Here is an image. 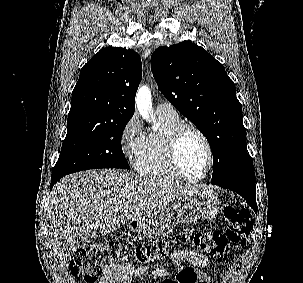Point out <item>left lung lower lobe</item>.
Returning a JSON list of instances; mask_svg holds the SVG:
<instances>
[{
  "mask_svg": "<svg viewBox=\"0 0 303 283\" xmlns=\"http://www.w3.org/2000/svg\"><path fill=\"white\" fill-rule=\"evenodd\" d=\"M220 187L232 190L241 195L252 209L257 213L256 204V185L255 181H239L231 183H218L214 184Z\"/></svg>",
  "mask_w": 303,
  "mask_h": 283,
  "instance_id": "1",
  "label": "left lung lower lobe"
}]
</instances>
